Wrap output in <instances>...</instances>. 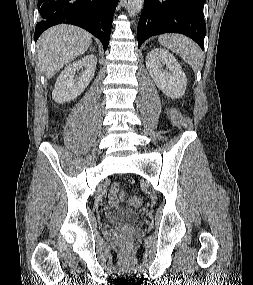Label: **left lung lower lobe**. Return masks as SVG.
<instances>
[{"label":"left lung lower lobe","instance_id":"1","mask_svg":"<svg viewBox=\"0 0 253 285\" xmlns=\"http://www.w3.org/2000/svg\"><path fill=\"white\" fill-rule=\"evenodd\" d=\"M139 19L138 47L151 36L174 32L193 39L204 49V0H145Z\"/></svg>","mask_w":253,"mask_h":285}]
</instances>
